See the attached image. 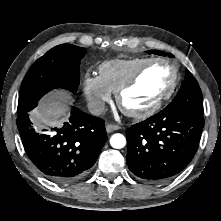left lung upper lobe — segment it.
<instances>
[{
	"label": "left lung upper lobe",
	"instance_id": "5c2ea615",
	"mask_svg": "<svg viewBox=\"0 0 221 221\" xmlns=\"http://www.w3.org/2000/svg\"><path fill=\"white\" fill-rule=\"evenodd\" d=\"M159 52L158 50L147 53ZM177 110L203 117L202 93L194 76L187 71L184 81L174 100L169 104Z\"/></svg>",
	"mask_w": 221,
	"mask_h": 221
}]
</instances>
